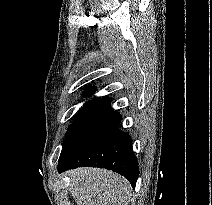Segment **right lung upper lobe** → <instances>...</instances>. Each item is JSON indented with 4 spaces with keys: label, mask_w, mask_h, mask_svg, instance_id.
<instances>
[{
    "label": "right lung upper lobe",
    "mask_w": 212,
    "mask_h": 205,
    "mask_svg": "<svg viewBox=\"0 0 212 205\" xmlns=\"http://www.w3.org/2000/svg\"><path fill=\"white\" fill-rule=\"evenodd\" d=\"M93 90H94V88L85 91V96H86V95H92Z\"/></svg>",
    "instance_id": "right-lung-upper-lobe-1"
}]
</instances>
